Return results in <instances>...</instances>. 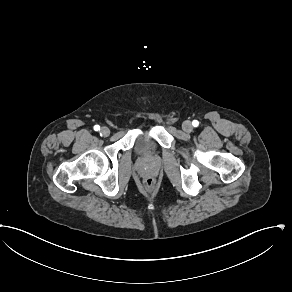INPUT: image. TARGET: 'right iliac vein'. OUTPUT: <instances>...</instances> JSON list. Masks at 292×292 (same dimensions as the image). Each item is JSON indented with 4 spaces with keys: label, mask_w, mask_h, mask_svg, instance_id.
<instances>
[{
    "label": "right iliac vein",
    "mask_w": 292,
    "mask_h": 292,
    "mask_svg": "<svg viewBox=\"0 0 292 292\" xmlns=\"http://www.w3.org/2000/svg\"><path fill=\"white\" fill-rule=\"evenodd\" d=\"M100 134L104 137H107L110 134V129L108 127L104 126L100 129Z\"/></svg>",
    "instance_id": "63e3f726"
}]
</instances>
